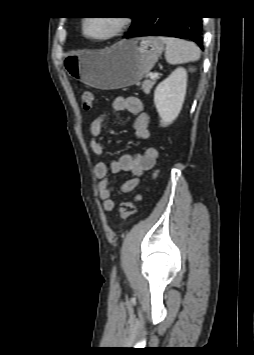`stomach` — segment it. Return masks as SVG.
<instances>
[{
    "mask_svg": "<svg viewBox=\"0 0 254 355\" xmlns=\"http://www.w3.org/2000/svg\"><path fill=\"white\" fill-rule=\"evenodd\" d=\"M164 49L157 37L122 40L102 51L69 53L63 59L67 74L99 89L131 86L153 68Z\"/></svg>",
    "mask_w": 254,
    "mask_h": 355,
    "instance_id": "stomach-1",
    "label": "stomach"
}]
</instances>
